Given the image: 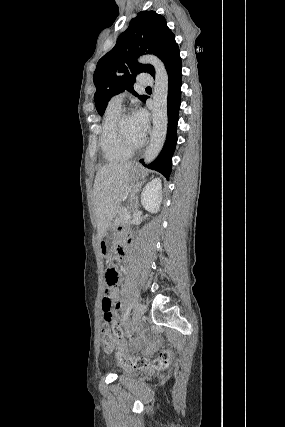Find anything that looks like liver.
Segmentation results:
<instances>
[{
  "label": "liver",
  "instance_id": "1",
  "mask_svg": "<svg viewBox=\"0 0 285 427\" xmlns=\"http://www.w3.org/2000/svg\"><path fill=\"white\" fill-rule=\"evenodd\" d=\"M131 166V162L110 163L100 168L96 174L93 205L100 239L107 232L127 194Z\"/></svg>",
  "mask_w": 285,
  "mask_h": 427
}]
</instances>
